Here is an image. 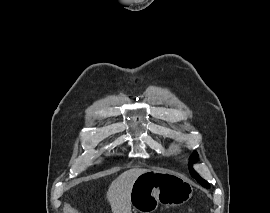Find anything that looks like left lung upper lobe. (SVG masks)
Returning <instances> with one entry per match:
<instances>
[{
    "mask_svg": "<svg viewBox=\"0 0 270 213\" xmlns=\"http://www.w3.org/2000/svg\"><path fill=\"white\" fill-rule=\"evenodd\" d=\"M197 153L195 152L192 156H191V161H194L197 158ZM190 170V174L193 178H195L202 186L209 188V184L208 182H206L204 179H202L194 170L193 168L190 166L189 167Z\"/></svg>",
    "mask_w": 270,
    "mask_h": 213,
    "instance_id": "5c2ea615",
    "label": "left lung upper lobe"
}]
</instances>
